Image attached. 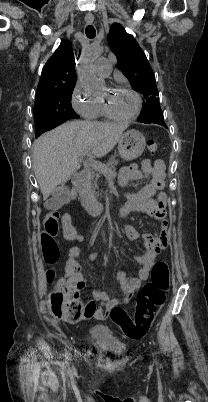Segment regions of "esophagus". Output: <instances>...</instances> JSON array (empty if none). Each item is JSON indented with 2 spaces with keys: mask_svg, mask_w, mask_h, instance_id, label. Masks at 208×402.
<instances>
[{
  "mask_svg": "<svg viewBox=\"0 0 208 402\" xmlns=\"http://www.w3.org/2000/svg\"><path fill=\"white\" fill-rule=\"evenodd\" d=\"M93 20H94L93 14H92V13H88V14L86 15V17H85L86 23L91 24V23L93 22Z\"/></svg>",
  "mask_w": 208,
  "mask_h": 402,
  "instance_id": "esophagus-1",
  "label": "esophagus"
}]
</instances>
